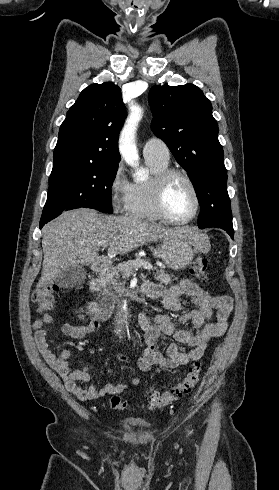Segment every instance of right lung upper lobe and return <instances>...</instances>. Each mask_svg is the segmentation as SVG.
I'll return each instance as SVG.
<instances>
[{
	"mask_svg": "<svg viewBox=\"0 0 279 490\" xmlns=\"http://www.w3.org/2000/svg\"><path fill=\"white\" fill-rule=\"evenodd\" d=\"M126 117L121 89L92 84L70 107L54 149V165L70 162L120 161L117 140Z\"/></svg>",
	"mask_w": 279,
	"mask_h": 490,
	"instance_id": "1",
	"label": "right lung upper lobe"
}]
</instances>
